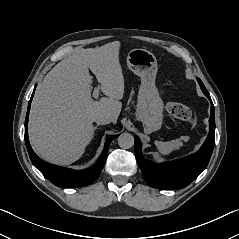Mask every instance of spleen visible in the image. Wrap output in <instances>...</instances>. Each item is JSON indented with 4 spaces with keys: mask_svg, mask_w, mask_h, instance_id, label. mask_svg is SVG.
<instances>
[{
    "mask_svg": "<svg viewBox=\"0 0 239 239\" xmlns=\"http://www.w3.org/2000/svg\"><path fill=\"white\" fill-rule=\"evenodd\" d=\"M189 136H182L179 139L171 140V141H156L155 145L158 148V151L162 155H168L172 153L174 150H178L181 146H183V142H187L189 140Z\"/></svg>",
    "mask_w": 239,
    "mask_h": 239,
    "instance_id": "3e777b00",
    "label": "spleen"
}]
</instances>
